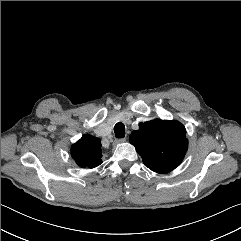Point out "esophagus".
I'll return each instance as SVG.
<instances>
[{"label": "esophagus", "instance_id": "1", "mask_svg": "<svg viewBox=\"0 0 241 241\" xmlns=\"http://www.w3.org/2000/svg\"><path fill=\"white\" fill-rule=\"evenodd\" d=\"M125 141H126V138H120V139H116L114 143L118 144V143H123Z\"/></svg>", "mask_w": 241, "mask_h": 241}]
</instances>
